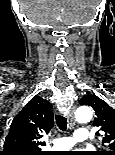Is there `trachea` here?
I'll use <instances>...</instances> for the list:
<instances>
[{
	"label": "trachea",
	"instance_id": "trachea-1",
	"mask_svg": "<svg viewBox=\"0 0 115 155\" xmlns=\"http://www.w3.org/2000/svg\"><path fill=\"white\" fill-rule=\"evenodd\" d=\"M56 124L61 131L67 130V120L63 115L57 114L55 116Z\"/></svg>",
	"mask_w": 115,
	"mask_h": 155
}]
</instances>
